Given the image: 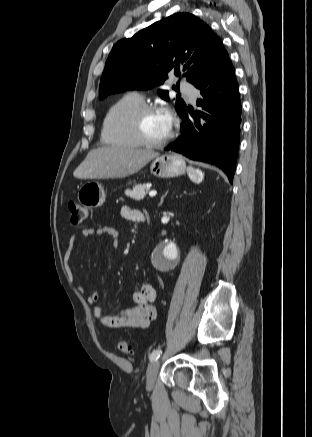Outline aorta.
<instances>
[{
    "label": "aorta",
    "instance_id": "aorta-1",
    "mask_svg": "<svg viewBox=\"0 0 312 437\" xmlns=\"http://www.w3.org/2000/svg\"><path fill=\"white\" fill-rule=\"evenodd\" d=\"M177 256V249L173 243H166L155 253L154 261L157 266H162L167 260L174 259Z\"/></svg>",
    "mask_w": 312,
    "mask_h": 437
}]
</instances>
